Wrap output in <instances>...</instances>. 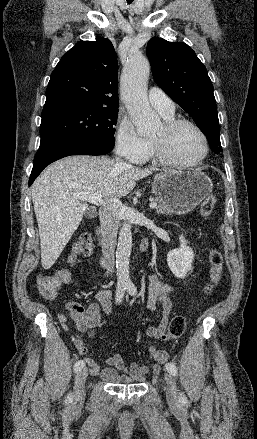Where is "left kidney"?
Segmentation results:
<instances>
[{
    "label": "left kidney",
    "mask_w": 257,
    "mask_h": 439,
    "mask_svg": "<svg viewBox=\"0 0 257 439\" xmlns=\"http://www.w3.org/2000/svg\"><path fill=\"white\" fill-rule=\"evenodd\" d=\"M180 247L171 250L167 254V263L172 271V273L177 278H185L187 273L192 270V262L194 259L193 250L187 246L188 241L185 240L184 236L179 237Z\"/></svg>",
    "instance_id": "5707ae66"
}]
</instances>
